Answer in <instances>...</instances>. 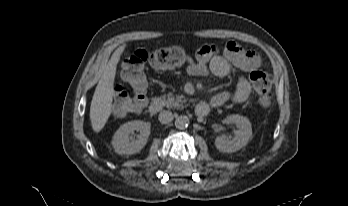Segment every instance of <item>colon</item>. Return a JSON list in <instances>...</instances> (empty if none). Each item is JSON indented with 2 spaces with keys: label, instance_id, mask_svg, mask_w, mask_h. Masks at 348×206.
<instances>
[{
  "label": "colon",
  "instance_id": "1",
  "mask_svg": "<svg viewBox=\"0 0 348 206\" xmlns=\"http://www.w3.org/2000/svg\"><path fill=\"white\" fill-rule=\"evenodd\" d=\"M214 47L215 51L217 48ZM199 53L197 52V55ZM186 61L184 51L177 47L160 48L153 51L137 49L123 59L122 77L130 86V92L119 87L114 96V110L119 114H135L146 104L147 79L144 73L148 63L159 70H171ZM249 81L257 94L262 109L272 105L274 78L264 71L255 70L249 75Z\"/></svg>",
  "mask_w": 348,
  "mask_h": 206
}]
</instances>
